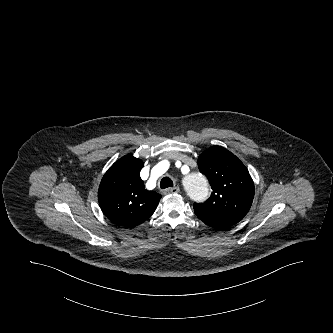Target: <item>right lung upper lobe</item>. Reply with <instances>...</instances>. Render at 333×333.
Instances as JSON below:
<instances>
[{
  "label": "right lung upper lobe",
  "instance_id": "1",
  "mask_svg": "<svg viewBox=\"0 0 333 333\" xmlns=\"http://www.w3.org/2000/svg\"><path fill=\"white\" fill-rule=\"evenodd\" d=\"M142 160L132 155L115 162L103 176L98 201L104 215L117 225L132 228L155 211L161 195L148 191L140 178Z\"/></svg>",
  "mask_w": 333,
  "mask_h": 333
}]
</instances>
